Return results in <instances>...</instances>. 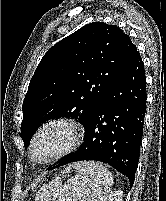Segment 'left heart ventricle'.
<instances>
[{"mask_svg":"<svg viewBox=\"0 0 166 201\" xmlns=\"http://www.w3.org/2000/svg\"><path fill=\"white\" fill-rule=\"evenodd\" d=\"M71 138L70 131L64 126H52L39 137L35 157L44 159L52 154L63 150Z\"/></svg>","mask_w":166,"mask_h":201,"instance_id":"left-heart-ventricle-1","label":"left heart ventricle"}]
</instances>
